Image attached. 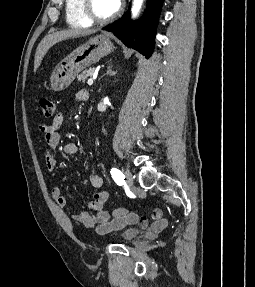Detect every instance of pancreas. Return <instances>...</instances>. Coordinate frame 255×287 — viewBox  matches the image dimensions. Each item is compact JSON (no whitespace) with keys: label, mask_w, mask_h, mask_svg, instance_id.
<instances>
[{"label":"pancreas","mask_w":255,"mask_h":287,"mask_svg":"<svg viewBox=\"0 0 255 287\" xmlns=\"http://www.w3.org/2000/svg\"><path fill=\"white\" fill-rule=\"evenodd\" d=\"M95 68H89V70H83L82 74L77 76L78 82H86L89 76H93Z\"/></svg>","instance_id":"cf45deb5"}]
</instances>
